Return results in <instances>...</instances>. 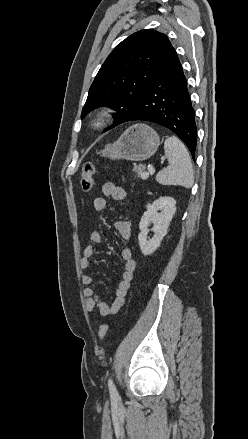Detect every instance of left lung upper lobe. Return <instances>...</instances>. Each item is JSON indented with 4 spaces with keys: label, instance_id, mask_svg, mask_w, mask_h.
Masks as SVG:
<instances>
[{
    "label": "left lung upper lobe",
    "instance_id": "left-lung-upper-lobe-1",
    "mask_svg": "<svg viewBox=\"0 0 248 439\" xmlns=\"http://www.w3.org/2000/svg\"><path fill=\"white\" fill-rule=\"evenodd\" d=\"M175 52L168 37L154 30H141L123 40L97 73L82 109L81 119L100 106L117 111L122 123Z\"/></svg>",
    "mask_w": 248,
    "mask_h": 439
}]
</instances>
